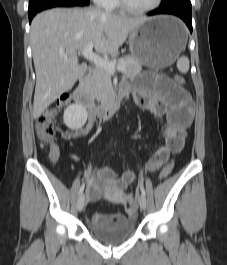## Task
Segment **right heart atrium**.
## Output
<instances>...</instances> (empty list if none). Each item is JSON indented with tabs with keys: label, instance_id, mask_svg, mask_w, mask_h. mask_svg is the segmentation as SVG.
<instances>
[{
	"label": "right heart atrium",
	"instance_id": "d8ad5b80",
	"mask_svg": "<svg viewBox=\"0 0 227 265\" xmlns=\"http://www.w3.org/2000/svg\"><path fill=\"white\" fill-rule=\"evenodd\" d=\"M97 5L109 9L112 0H93Z\"/></svg>",
	"mask_w": 227,
	"mask_h": 265
}]
</instances>
